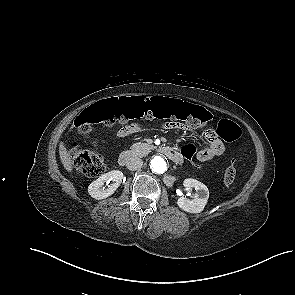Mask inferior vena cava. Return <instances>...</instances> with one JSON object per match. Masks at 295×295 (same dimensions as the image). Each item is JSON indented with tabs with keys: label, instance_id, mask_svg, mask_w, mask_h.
<instances>
[{
	"label": "inferior vena cava",
	"instance_id": "1",
	"mask_svg": "<svg viewBox=\"0 0 295 295\" xmlns=\"http://www.w3.org/2000/svg\"><path fill=\"white\" fill-rule=\"evenodd\" d=\"M142 166L143 161L138 157H131L126 163V167L131 171L140 169Z\"/></svg>",
	"mask_w": 295,
	"mask_h": 295
}]
</instances>
